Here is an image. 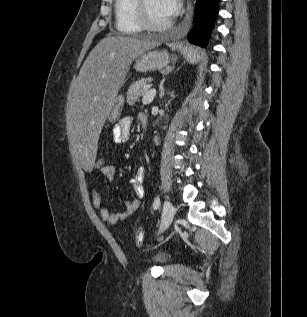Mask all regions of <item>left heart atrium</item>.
Segmentation results:
<instances>
[{
    "label": "left heart atrium",
    "instance_id": "obj_1",
    "mask_svg": "<svg viewBox=\"0 0 307 317\" xmlns=\"http://www.w3.org/2000/svg\"><path fill=\"white\" fill-rule=\"evenodd\" d=\"M160 5L166 15H174L180 8L179 0H159Z\"/></svg>",
    "mask_w": 307,
    "mask_h": 317
}]
</instances>
